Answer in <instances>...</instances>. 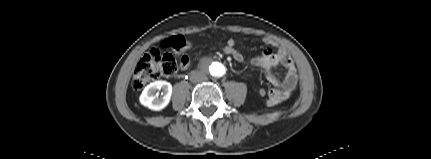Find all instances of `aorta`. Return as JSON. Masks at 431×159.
Masks as SVG:
<instances>
[{"label":"aorta","instance_id":"aorta-1","mask_svg":"<svg viewBox=\"0 0 431 159\" xmlns=\"http://www.w3.org/2000/svg\"><path fill=\"white\" fill-rule=\"evenodd\" d=\"M206 71L208 74L214 77H221L225 73V67L219 62H210L206 66Z\"/></svg>","mask_w":431,"mask_h":159}]
</instances>
